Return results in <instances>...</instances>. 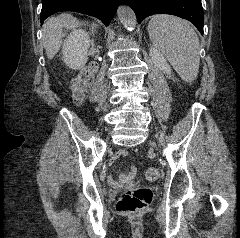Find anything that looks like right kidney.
Returning <instances> with one entry per match:
<instances>
[{
    "label": "right kidney",
    "instance_id": "ca27d5eb",
    "mask_svg": "<svg viewBox=\"0 0 240 238\" xmlns=\"http://www.w3.org/2000/svg\"><path fill=\"white\" fill-rule=\"evenodd\" d=\"M90 42L89 33L82 29L73 30L68 35L62 47V56L67 67L79 70L85 66Z\"/></svg>",
    "mask_w": 240,
    "mask_h": 238
}]
</instances>
